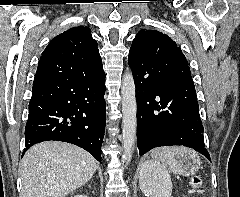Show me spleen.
<instances>
[{"label":"spleen","instance_id":"obj_1","mask_svg":"<svg viewBox=\"0 0 240 197\" xmlns=\"http://www.w3.org/2000/svg\"><path fill=\"white\" fill-rule=\"evenodd\" d=\"M176 155H195V152L184 147L152 150V159L145 161L140 170L141 189L147 197H170L173 186L168 166Z\"/></svg>","mask_w":240,"mask_h":197}]
</instances>
